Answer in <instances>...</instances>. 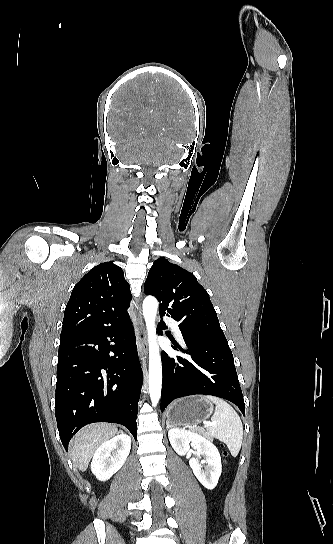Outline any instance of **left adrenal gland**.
<instances>
[{"label":"left adrenal gland","mask_w":333,"mask_h":544,"mask_svg":"<svg viewBox=\"0 0 333 544\" xmlns=\"http://www.w3.org/2000/svg\"><path fill=\"white\" fill-rule=\"evenodd\" d=\"M166 425H167V429L171 428L172 426L169 424V421L166 422Z\"/></svg>","instance_id":"left-adrenal-gland-1"}]
</instances>
